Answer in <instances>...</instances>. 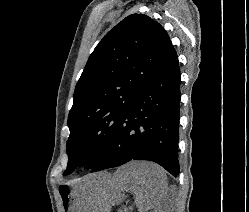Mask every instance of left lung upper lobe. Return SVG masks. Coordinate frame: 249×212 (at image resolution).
I'll return each mask as SVG.
<instances>
[{
  "instance_id": "left-lung-upper-lobe-1",
  "label": "left lung upper lobe",
  "mask_w": 249,
  "mask_h": 212,
  "mask_svg": "<svg viewBox=\"0 0 249 212\" xmlns=\"http://www.w3.org/2000/svg\"><path fill=\"white\" fill-rule=\"evenodd\" d=\"M171 47L163 27L142 14L129 15L103 37L75 88L64 175L104 158L120 118Z\"/></svg>"
}]
</instances>
